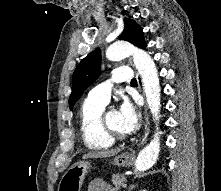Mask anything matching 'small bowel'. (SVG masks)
I'll return each mask as SVG.
<instances>
[{
	"instance_id": "c3829d8e",
	"label": "small bowel",
	"mask_w": 221,
	"mask_h": 191,
	"mask_svg": "<svg viewBox=\"0 0 221 191\" xmlns=\"http://www.w3.org/2000/svg\"><path fill=\"white\" fill-rule=\"evenodd\" d=\"M88 191H116V190L107 181L102 179H95L89 182Z\"/></svg>"
}]
</instances>
